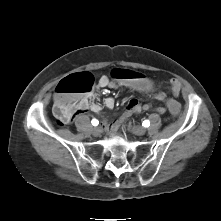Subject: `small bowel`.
Masks as SVG:
<instances>
[{
	"instance_id": "small-bowel-1",
	"label": "small bowel",
	"mask_w": 221,
	"mask_h": 221,
	"mask_svg": "<svg viewBox=\"0 0 221 221\" xmlns=\"http://www.w3.org/2000/svg\"><path fill=\"white\" fill-rule=\"evenodd\" d=\"M121 85L126 86L120 82L117 83V82L110 81L108 77L105 75L101 76L96 82L97 88H117ZM170 85H171L172 98H169V100H172V99L177 100L181 91V84L178 80L171 79ZM155 97L161 103H166L168 101V96L162 90L157 91L155 94ZM93 99H94V91H89L85 93L84 95L80 96L74 105L75 114H83V113H88V112L99 114L102 108L99 104L93 102ZM114 104L115 102L113 98H107L104 101V105L108 109H112L114 107ZM150 108L151 106L149 104L141 105L137 99L131 98L128 101L124 111L118 116L117 119H115L111 124L108 125L109 130L111 132L116 131L119 125L127 121L131 117V115L139 113L142 110H149ZM166 110L170 112L166 104L164 107H160L157 109L159 113H164Z\"/></svg>"
}]
</instances>
